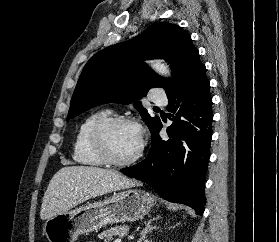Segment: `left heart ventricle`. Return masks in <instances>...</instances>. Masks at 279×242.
<instances>
[{
  "mask_svg": "<svg viewBox=\"0 0 279 242\" xmlns=\"http://www.w3.org/2000/svg\"><path fill=\"white\" fill-rule=\"evenodd\" d=\"M107 137L111 153L120 160L133 156L139 147V132L133 125H116L109 130Z\"/></svg>",
  "mask_w": 279,
  "mask_h": 242,
  "instance_id": "obj_1",
  "label": "left heart ventricle"
}]
</instances>
